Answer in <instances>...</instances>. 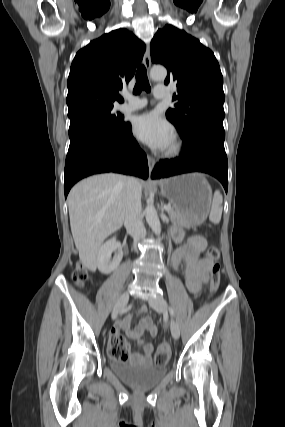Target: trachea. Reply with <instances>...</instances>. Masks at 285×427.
I'll return each instance as SVG.
<instances>
[{
  "label": "trachea",
  "mask_w": 285,
  "mask_h": 427,
  "mask_svg": "<svg viewBox=\"0 0 285 427\" xmlns=\"http://www.w3.org/2000/svg\"><path fill=\"white\" fill-rule=\"evenodd\" d=\"M142 90H145L146 92L151 91V87L149 85V81L147 78V71L144 65H140L136 72V84L133 90V93L135 95L140 94Z\"/></svg>",
  "instance_id": "trachea-1"
}]
</instances>
